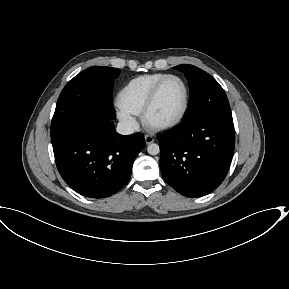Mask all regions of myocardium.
<instances>
[{
  "instance_id": "myocardium-1",
  "label": "myocardium",
  "mask_w": 289,
  "mask_h": 289,
  "mask_svg": "<svg viewBox=\"0 0 289 289\" xmlns=\"http://www.w3.org/2000/svg\"><path fill=\"white\" fill-rule=\"evenodd\" d=\"M170 79H177L183 85L184 92H185L183 107L181 109V112L179 113V115L175 119L168 121V122H165V123H153L149 118L150 112H151V110H152V108L156 102V99L158 97L160 89L162 88L164 83ZM189 104H190V89H189L187 82L179 75L168 74L165 77H163L161 80H159L152 88V90L149 93L148 98H147V100L143 106V109L141 112V118H142L144 125L151 130L164 131V130L172 129V128L178 126L183 121V119L185 118V116L187 114Z\"/></svg>"
}]
</instances>
